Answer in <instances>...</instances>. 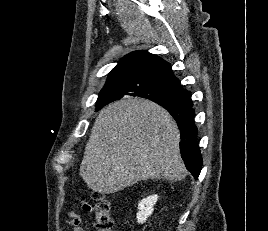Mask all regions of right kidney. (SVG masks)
<instances>
[{
  "mask_svg": "<svg viewBox=\"0 0 268 231\" xmlns=\"http://www.w3.org/2000/svg\"><path fill=\"white\" fill-rule=\"evenodd\" d=\"M158 200V195H151L147 198L141 200L138 204V213H137V221L138 223L143 224L147 218L154 211V205Z\"/></svg>",
  "mask_w": 268,
  "mask_h": 231,
  "instance_id": "obj_1",
  "label": "right kidney"
}]
</instances>
